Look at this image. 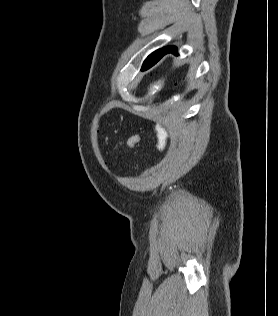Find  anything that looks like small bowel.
Here are the masks:
<instances>
[{
	"label": "small bowel",
	"mask_w": 278,
	"mask_h": 316,
	"mask_svg": "<svg viewBox=\"0 0 278 316\" xmlns=\"http://www.w3.org/2000/svg\"><path fill=\"white\" fill-rule=\"evenodd\" d=\"M140 141V136L139 135H133L131 137H129L126 141H125V146L128 148H133L135 147V145Z\"/></svg>",
	"instance_id": "small-bowel-1"
}]
</instances>
